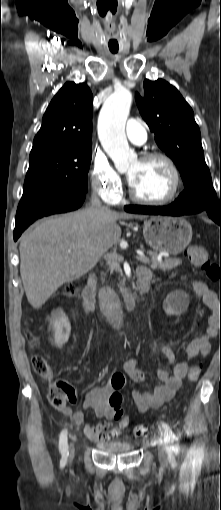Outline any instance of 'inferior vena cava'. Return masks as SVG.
<instances>
[{
    "instance_id": "1",
    "label": "inferior vena cava",
    "mask_w": 221,
    "mask_h": 510,
    "mask_svg": "<svg viewBox=\"0 0 221 510\" xmlns=\"http://www.w3.org/2000/svg\"><path fill=\"white\" fill-rule=\"evenodd\" d=\"M90 202L93 207L100 208L101 210H108V208L101 206L100 200H99L96 192L92 193Z\"/></svg>"
}]
</instances>
